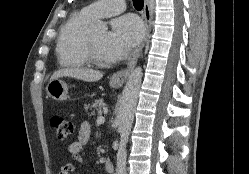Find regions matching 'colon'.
I'll return each instance as SVG.
<instances>
[{
	"instance_id": "colon-1",
	"label": "colon",
	"mask_w": 249,
	"mask_h": 174,
	"mask_svg": "<svg viewBox=\"0 0 249 174\" xmlns=\"http://www.w3.org/2000/svg\"><path fill=\"white\" fill-rule=\"evenodd\" d=\"M50 123L60 140H66L73 133V124L61 115H53Z\"/></svg>"
}]
</instances>
